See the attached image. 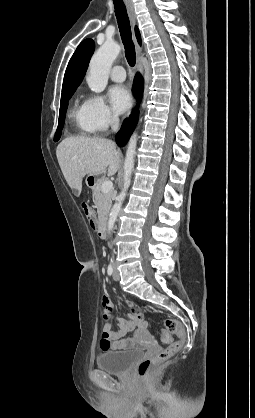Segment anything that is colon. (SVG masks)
<instances>
[{
    "label": "colon",
    "mask_w": 255,
    "mask_h": 418,
    "mask_svg": "<svg viewBox=\"0 0 255 418\" xmlns=\"http://www.w3.org/2000/svg\"><path fill=\"white\" fill-rule=\"evenodd\" d=\"M81 208L90 226L94 227L96 218L93 210L85 202L81 204ZM173 335L177 336L178 339L176 341H172ZM161 337L165 342H168L169 345L156 355L145 358L139 362L137 374L140 378H147L158 365L176 354L186 341L187 331L178 320L167 318L164 322V328L161 330Z\"/></svg>",
    "instance_id": "colon-1"
}]
</instances>
